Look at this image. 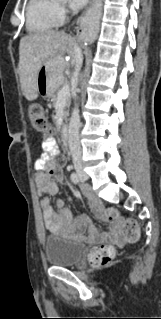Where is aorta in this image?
Here are the masks:
<instances>
[{
  "instance_id": "762f6f07",
  "label": "aorta",
  "mask_w": 161,
  "mask_h": 319,
  "mask_svg": "<svg viewBox=\"0 0 161 319\" xmlns=\"http://www.w3.org/2000/svg\"><path fill=\"white\" fill-rule=\"evenodd\" d=\"M91 27H92V26H91V24H90V19L87 18V19L85 20V29H86V30H89ZM93 28L95 29V26H93Z\"/></svg>"
}]
</instances>
